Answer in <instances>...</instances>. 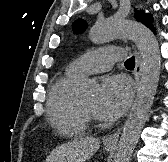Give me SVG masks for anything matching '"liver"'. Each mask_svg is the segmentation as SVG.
Wrapping results in <instances>:
<instances>
[{
    "mask_svg": "<svg viewBox=\"0 0 168 162\" xmlns=\"http://www.w3.org/2000/svg\"><path fill=\"white\" fill-rule=\"evenodd\" d=\"M99 146L98 138L74 139L53 149L45 162H84L99 149Z\"/></svg>",
    "mask_w": 168,
    "mask_h": 162,
    "instance_id": "6515ba94",
    "label": "liver"
}]
</instances>
